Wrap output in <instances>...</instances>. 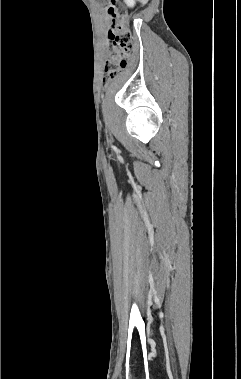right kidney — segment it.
Returning a JSON list of instances; mask_svg holds the SVG:
<instances>
[{"label": "right kidney", "mask_w": 241, "mask_h": 379, "mask_svg": "<svg viewBox=\"0 0 241 379\" xmlns=\"http://www.w3.org/2000/svg\"><path fill=\"white\" fill-rule=\"evenodd\" d=\"M125 3H126L127 6H129V7H133L134 4H135V0H125Z\"/></svg>", "instance_id": "right-kidney-1"}]
</instances>
